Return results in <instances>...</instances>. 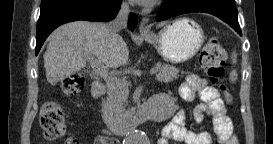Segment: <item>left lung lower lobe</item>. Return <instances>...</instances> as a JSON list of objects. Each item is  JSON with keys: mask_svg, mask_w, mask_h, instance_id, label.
I'll return each instance as SVG.
<instances>
[{"mask_svg": "<svg viewBox=\"0 0 273 144\" xmlns=\"http://www.w3.org/2000/svg\"><path fill=\"white\" fill-rule=\"evenodd\" d=\"M190 12H205L217 16L242 35L235 0H164L156 21Z\"/></svg>", "mask_w": 273, "mask_h": 144, "instance_id": "left-lung-lower-lobe-1", "label": "left lung lower lobe"}]
</instances>
